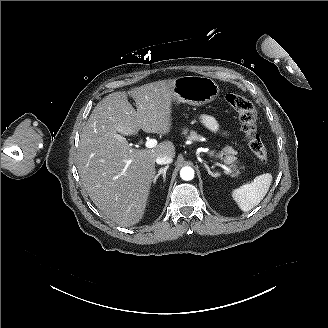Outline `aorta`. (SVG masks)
Listing matches in <instances>:
<instances>
[{
    "instance_id": "aorta-1",
    "label": "aorta",
    "mask_w": 328,
    "mask_h": 328,
    "mask_svg": "<svg viewBox=\"0 0 328 328\" xmlns=\"http://www.w3.org/2000/svg\"><path fill=\"white\" fill-rule=\"evenodd\" d=\"M180 177L185 180V181H189L192 180L194 178V170L191 167H183L180 170Z\"/></svg>"
}]
</instances>
